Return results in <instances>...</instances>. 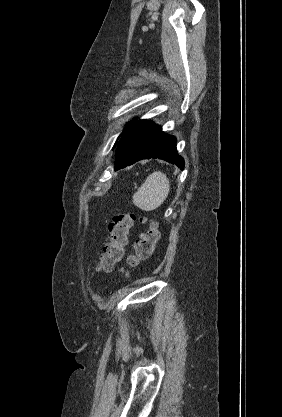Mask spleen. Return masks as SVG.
<instances>
[{
	"instance_id": "3e777b00",
	"label": "spleen",
	"mask_w": 282,
	"mask_h": 417,
	"mask_svg": "<svg viewBox=\"0 0 282 417\" xmlns=\"http://www.w3.org/2000/svg\"><path fill=\"white\" fill-rule=\"evenodd\" d=\"M170 190L169 178L161 170L147 176L145 182L133 194V202L142 211H154L163 204Z\"/></svg>"
}]
</instances>
